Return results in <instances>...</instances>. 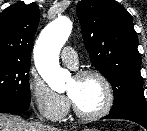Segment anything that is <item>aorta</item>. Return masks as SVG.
Returning <instances> with one entry per match:
<instances>
[{"label": "aorta", "mask_w": 147, "mask_h": 131, "mask_svg": "<svg viewBox=\"0 0 147 131\" xmlns=\"http://www.w3.org/2000/svg\"><path fill=\"white\" fill-rule=\"evenodd\" d=\"M71 31L70 19L60 16L43 29L34 47V60L39 74L57 92L64 91L71 80L70 72L59 65L60 50Z\"/></svg>", "instance_id": "obj_1"}]
</instances>
